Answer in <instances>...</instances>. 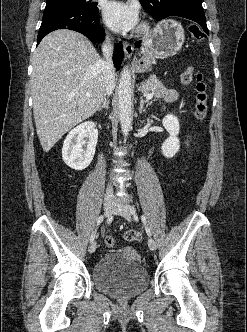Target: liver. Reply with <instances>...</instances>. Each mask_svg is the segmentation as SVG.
I'll use <instances>...</instances> for the list:
<instances>
[{
	"mask_svg": "<svg viewBox=\"0 0 247 332\" xmlns=\"http://www.w3.org/2000/svg\"><path fill=\"white\" fill-rule=\"evenodd\" d=\"M102 62L86 37L67 29L48 34L35 50L31 76L33 113L44 152L94 115L103 103L106 80Z\"/></svg>",
	"mask_w": 247,
	"mask_h": 332,
	"instance_id": "1",
	"label": "liver"
}]
</instances>
